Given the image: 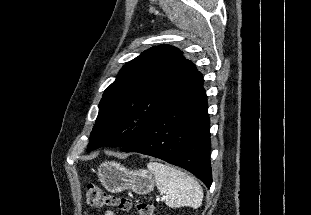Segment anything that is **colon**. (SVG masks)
Listing matches in <instances>:
<instances>
[{"label": "colon", "instance_id": "1", "mask_svg": "<svg viewBox=\"0 0 311 215\" xmlns=\"http://www.w3.org/2000/svg\"><path fill=\"white\" fill-rule=\"evenodd\" d=\"M87 204L96 209L104 207H116L118 210L128 212L132 208V202L125 197H116L103 191L94 183H88L86 186ZM138 215H153V207L148 203H139L137 205Z\"/></svg>", "mask_w": 311, "mask_h": 215}]
</instances>
